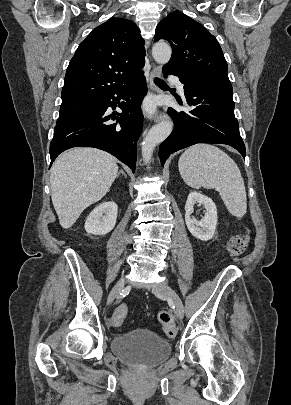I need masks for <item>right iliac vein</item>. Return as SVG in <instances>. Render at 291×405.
<instances>
[{
  "instance_id": "obj_1",
  "label": "right iliac vein",
  "mask_w": 291,
  "mask_h": 405,
  "mask_svg": "<svg viewBox=\"0 0 291 405\" xmlns=\"http://www.w3.org/2000/svg\"><path fill=\"white\" fill-rule=\"evenodd\" d=\"M124 286H125V279L122 278L117 282V284L113 287L112 291L110 292L107 300L108 304H111L113 302V300L121 293Z\"/></svg>"
}]
</instances>
